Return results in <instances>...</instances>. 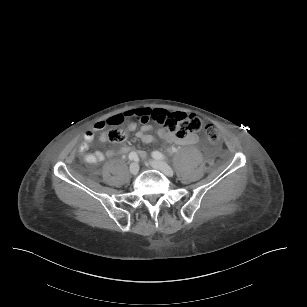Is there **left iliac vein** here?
<instances>
[{
  "mask_svg": "<svg viewBox=\"0 0 307 307\" xmlns=\"http://www.w3.org/2000/svg\"><path fill=\"white\" fill-rule=\"evenodd\" d=\"M150 165L165 175L171 176L173 175V170L172 168L164 161H158V160H152L150 161Z\"/></svg>",
  "mask_w": 307,
  "mask_h": 307,
  "instance_id": "1",
  "label": "left iliac vein"
}]
</instances>
